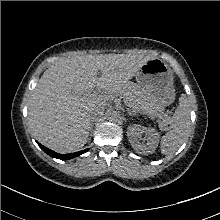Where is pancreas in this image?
<instances>
[{
    "label": "pancreas",
    "mask_w": 220,
    "mask_h": 220,
    "mask_svg": "<svg viewBox=\"0 0 220 220\" xmlns=\"http://www.w3.org/2000/svg\"><path fill=\"white\" fill-rule=\"evenodd\" d=\"M141 95L142 91H140L139 86L133 82H128L120 96L124 99L126 105L134 109L138 106ZM152 112L157 116H164L162 108L152 110Z\"/></svg>",
    "instance_id": "obj_1"
}]
</instances>
